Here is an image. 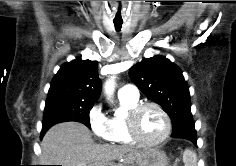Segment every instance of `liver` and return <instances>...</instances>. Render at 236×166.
Instances as JSON below:
<instances>
[{"instance_id":"1","label":"liver","mask_w":236,"mask_h":166,"mask_svg":"<svg viewBox=\"0 0 236 166\" xmlns=\"http://www.w3.org/2000/svg\"><path fill=\"white\" fill-rule=\"evenodd\" d=\"M143 152L119 145L96 144L90 130L78 122H64L52 126L41 142L40 161L43 165L116 166L141 159Z\"/></svg>"}]
</instances>
